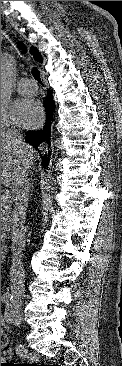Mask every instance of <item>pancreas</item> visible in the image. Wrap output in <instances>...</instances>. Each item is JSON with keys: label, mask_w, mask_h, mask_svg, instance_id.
Masks as SVG:
<instances>
[{"label": "pancreas", "mask_w": 122, "mask_h": 366, "mask_svg": "<svg viewBox=\"0 0 122 366\" xmlns=\"http://www.w3.org/2000/svg\"><path fill=\"white\" fill-rule=\"evenodd\" d=\"M10 210V200H1V241L3 242L8 233V214Z\"/></svg>", "instance_id": "obj_1"}]
</instances>
